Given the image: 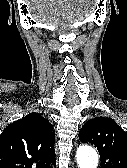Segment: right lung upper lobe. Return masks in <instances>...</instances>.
<instances>
[{"mask_svg": "<svg viewBox=\"0 0 127 168\" xmlns=\"http://www.w3.org/2000/svg\"><path fill=\"white\" fill-rule=\"evenodd\" d=\"M55 130L38 113L8 125L0 135V168H52Z\"/></svg>", "mask_w": 127, "mask_h": 168, "instance_id": "obj_1", "label": "right lung upper lobe"}]
</instances>
